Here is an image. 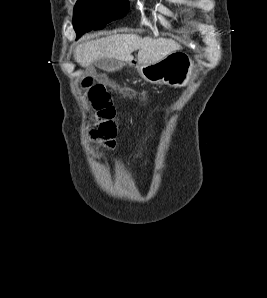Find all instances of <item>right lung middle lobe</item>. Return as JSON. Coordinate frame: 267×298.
<instances>
[{
    "label": "right lung middle lobe",
    "instance_id": "dd1d6c3e",
    "mask_svg": "<svg viewBox=\"0 0 267 298\" xmlns=\"http://www.w3.org/2000/svg\"><path fill=\"white\" fill-rule=\"evenodd\" d=\"M128 4L127 0H78L73 16L77 36L90 30L102 29L107 23L124 17Z\"/></svg>",
    "mask_w": 267,
    "mask_h": 298
}]
</instances>
